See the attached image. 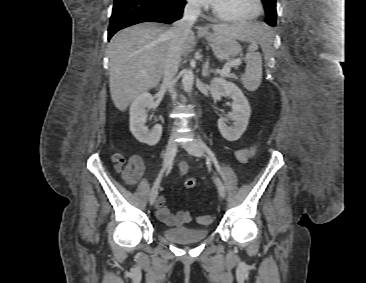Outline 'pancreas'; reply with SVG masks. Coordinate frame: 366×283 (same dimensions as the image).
<instances>
[{"label":"pancreas","instance_id":"cf45deb5","mask_svg":"<svg viewBox=\"0 0 366 283\" xmlns=\"http://www.w3.org/2000/svg\"><path fill=\"white\" fill-rule=\"evenodd\" d=\"M225 76H226L227 78H234V79H236L235 74H231V73H229V74H226Z\"/></svg>","mask_w":366,"mask_h":283}]
</instances>
